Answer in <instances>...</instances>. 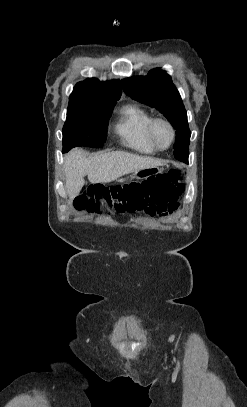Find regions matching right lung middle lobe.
I'll return each mask as SVG.
<instances>
[{
    "label": "right lung middle lobe",
    "mask_w": 247,
    "mask_h": 407,
    "mask_svg": "<svg viewBox=\"0 0 247 407\" xmlns=\"http://www.w3.org/2000/svg\"><path fill=\"white\" fill-rule=\"evenodd\" d=\"M116 102L69 105L62 131L63 152L76 146L103 147Z\"/></svg>",
    "instance_id": "right-lung-middle-lobe-1"
}]
</instances>
